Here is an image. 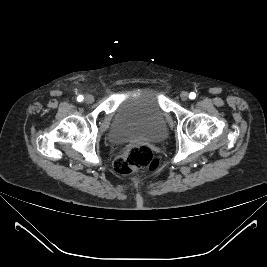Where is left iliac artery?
<instances>
[{"label":"left iliac artery","instance_id":"1","mask_svg":"<svg viewBox=\"0 0 267 267\" xmlns=\"http://www.w3.org/2000/svg\"><path fill=\"white\" fill-rule=\"evenodd\" d=\"M190 99H195L196 97V94L194 92H191L190 95H189Z\"/></svg>","mask_w":267,"mask_h":267}]
</instances>
